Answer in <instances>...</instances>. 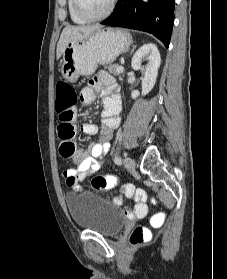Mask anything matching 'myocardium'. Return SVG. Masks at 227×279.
I'll return each instance as SVG.
<instances>
[{"mask_svg":"<svg viewBox=\"0 0 227 279\" xmlns=\"http://www.w3.org/2000/svg\"><path fill=\"white\" fill-rule=\"evenodd\" d=\"M116 1L117 0H110L108 8L102 14L97 15V16H90V15L86 14L80 7L79 0H73V4H74L75 12L77 13V15L80 18H82L85 21L93 22V21H99V20H102V19H105L106 17H108L112 13V11L115 7Z\"/></svg>","mask_w":227,"mask_h":279,"instance_id":"1","label":"myocardium"}]
</instances>
